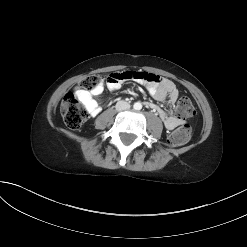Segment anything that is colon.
Instances as JSON below:
<instances>
[{"instance_id": "colon-1", "label": "colon", "mask_w": 247, "mask_h": 247, "mask_svg": "<svg viewBox=\"0 0 247 247\" xmlns=\"http://www.w3.org/2000/svg\"><path fill=\"white\" fill-rule=\"evenodd\" d=\"M101 81V75L93 74L83 79L80 87L84 90H92ZM175 111L180 119L190 118L195 114V108L191 100L186 96L178 100ZM60 112L66 126L72 130L79 129L88 117L87 109L73 93H68L64 97L61 102ZM190 135V127L188 125H182L169 135L168 142L172 146H180L189 140Z\"/></svg>"}]
</instances>
